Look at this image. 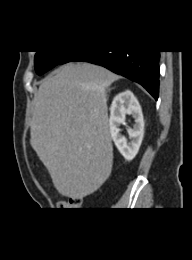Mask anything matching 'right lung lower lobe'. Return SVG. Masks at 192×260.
I'll list each match as a JSON object with an SVG mask.
<instances>
[{
  "label": "right lung lower lobe",
  "mask_w": 192,
  "mask_h": 260,
  "mask_svg": "<svg viewBox=\"0 0 192 260\" xmlns=\"http://www.w3.org/2000/svg\"><path fill=\"white\" fill-rule=\"evenodd\" d=\"M159 51H74L61 64L86 61L141 84L156 100L159 95Z\"/></svg>",
  "instance_id": "98d812e1"
}]
</instances>
